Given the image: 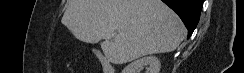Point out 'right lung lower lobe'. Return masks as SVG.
Listing matches in <instances>:
<instances>
[{
  "instance_id": "obj_1",
  "label": "right lung lower lobe",
  "mask_w": 244,
  "mask_h": 73,
  "mask_svg": "<svg viewBox=\"0 0 244 73\" xmlns=\"http://www.w3.org/2000/svg\"><path fill=\"white\" fill-rule=\"evenodd\" d=\"M174 10L188 29V38L199 22L203 0H162Z\"/></svg>"
}]
</instances>
